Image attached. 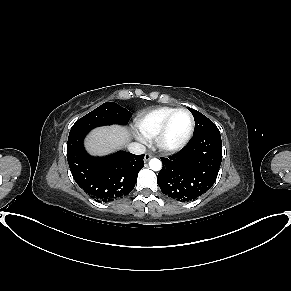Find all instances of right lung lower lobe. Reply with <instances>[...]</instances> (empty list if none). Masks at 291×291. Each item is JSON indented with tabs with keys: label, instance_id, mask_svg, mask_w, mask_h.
Here are the masks:
<instances>
[{
	"label": "right lung lower lobe",
	"instance_id": "1",
	"mask_svg": "<svg viewBox=\"0 0 291 291\" xmlns=\"http://www.w3.org/2000/svg\"><path fill=\"white\" fill-rule=\"evenodd\" d=\"M91 129L70 131L67 159L76 183L98 202H111L131 192L144 166V155L118 151L105 157L89 155L83 140Z\"/></svg>",
	"mask_w": 291,
	"mask_h": 291
}]
</instances>
